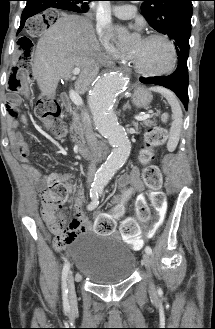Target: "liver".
Returning a JSON list of instances; mask_svg holds the SVG:
<instances>
[{"instance_id": "liver-1", "label": "liver", "mask_w": 215, "mask_h": 329, "mask_svg": "<svg viewBox=\"0 0 215 329\" xmlns=\"http://www.w3.org/2000/svg\"><path fill=\"white\" fill-rule=\"evenodd\" d=\"M105 59L91 21L63 15L38 40L32 71L42 94L52 99L60 78L70 79L77 67L76 91L84 93Z\"/></svg>"}]
</instances>
